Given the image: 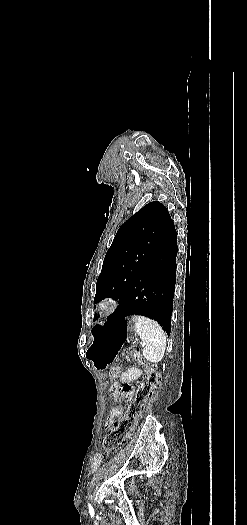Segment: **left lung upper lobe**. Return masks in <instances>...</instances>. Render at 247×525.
<instances>
[{"label":"left lung upper lobe","instance_id":"obj_1","mask_svg":"<svg viewBox=\"0 0 247 525\" xmlns=\"http://www.w3.org/2000/svg\"><path fill=\"white\" fill-rule=\"evenodd\" d=\"M171 221L167 208L153 201L118 229L103 261L94 302L108 296L122 300L145 267L157 239ZM96 318L95 315L94 320Z\"/></svg>","mask_w":247,"mask_h":525}]
</instances>
